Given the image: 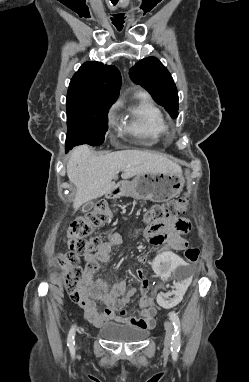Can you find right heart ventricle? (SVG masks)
I'll list each match as a JSON object with an SVG mask.
<instances>
[{
	"instance_id": "1",
	"label": "right heart ventricle",
	"mask_w": 249,
	"mask_h": 382,
	"mask_svg": "<svg viewBox=\"0 0 249 382\" xmlns=\"http://www.w3.org/2000/svg\"><path fill=\"white\" fill-rule=\"evenodd\" d=\"M122 129L145 143L152 144L168 132V125L160 108L148 95L140 93L127 106Z\"/></svg>"
}]
</instances>
